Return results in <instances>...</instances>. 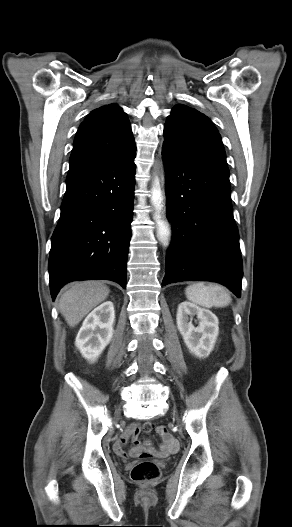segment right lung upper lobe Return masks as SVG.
Here are the masks:
<instances>
[{
    "label": "right lung upper lobe",
    "instance_id": "right-lung-upper-lobe-1",
    "mask_svg": "<svg viewBox=\"0 0 292 527\" xmlns=\"http://www.w3.org/2000/svg\"><path fill=\"white\" fill-rule=\"evenodd\" d=\"M134 150L126 113L117 104H109L93 110L81 124L69 162L113 159Z\"/></svg>",
    "mask_w": 292,
    "mask_h": 527
}]
</instances>
